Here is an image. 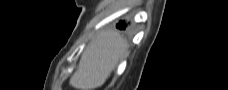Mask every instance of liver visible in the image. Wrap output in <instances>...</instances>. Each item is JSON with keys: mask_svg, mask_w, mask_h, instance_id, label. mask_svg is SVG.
<instances>
[{"mask_svg": "<svg viewBox=\"0 0 228 90\" xmlns=\"http://www.w3.org/2000/svg\"><path fill=\"white\" fill-rule=\"evenodd\" d=\"M126 47V41L117 31L108 30L99 34L83 52L70 85L78 90H94L102 86L124 57Z\"/></svg>", "mask_w": 228, "mask_h": 90, "instance_id": "1", "label": "liver"}]
</instances>
